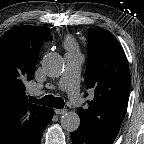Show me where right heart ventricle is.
I'll return each mask as SVG.
<instances>
[{"label": "right heart ventricle", "mask_w": 144, "mask_h": 144, "mask_svg": "<svg viewBox=\"0 0 144 144\" xmlns=\"http://www.w3.org/2000/svg\"><path fill=\"white\" fill-rule=\"evenodd\" d=\"M64 47L72 52L74 50L77 49V43L76 41L72 38V37H67L65 40H64Z\"/></svg>", "instance_id": "obj_1"}]
</instances>
